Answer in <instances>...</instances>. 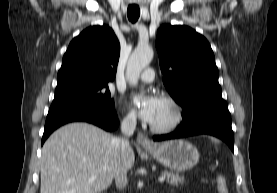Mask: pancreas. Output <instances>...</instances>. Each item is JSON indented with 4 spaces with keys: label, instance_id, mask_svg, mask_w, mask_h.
I'll use <instances>...</instances> for the list:
<instances>
[{
    "label": "pancreas",
    "instance_id": "1",
    "mask_svg": "<svg viewBox=\"0 0 277 193\" xmlns=\"http://www.w3.org/2000/svg\"><path fill=\"white\" fill-rule=\"evenodd\" d=\"M162 176L166 178V182L170 185H179L184 182V177L179 176L178 174H173L168 171L162 172Z\"/></svg>",
    "mask_w": 277,
    "mask_h": 193
}]
</instances>
